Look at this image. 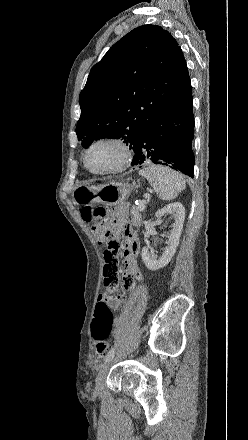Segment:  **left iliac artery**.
<instances>
[{"label": "left iliac artery", "instance_id": "44dca946", "mask_svg": "<svg viewBox=\"0 0 248 440\" xmlns=\"http://www.w3.org/2000/svg\"><path fill=\"white\" fill-rule=\"evenodd\" d=\"M114 354H115V350H114V348H111V349L108 351V353L106 354L104 360L107 361V360H109L110 358H113V357H114Z\"/></svg>", "mask_w": 248, "mask_h": 440}]
</instances>
